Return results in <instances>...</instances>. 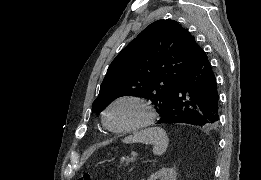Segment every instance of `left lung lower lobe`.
<instances>
[{
  "mask_svg": "<svg viewBox=\"0 0 261 180\" xmlns=\"http://www.w3.org/2000/svg\"><path fill=\"white\" fill-rule=\"evenodd\" d=\"M218 109L216 77L204 50L198 47L158 123H185L213 130L219 120Z\"/></svg>",
  "mask_w": 261,
  "mask_h": 180,
  "instance_id": "0a47b994",
  "label": "left lung lower lobe"
}]
</instances>
